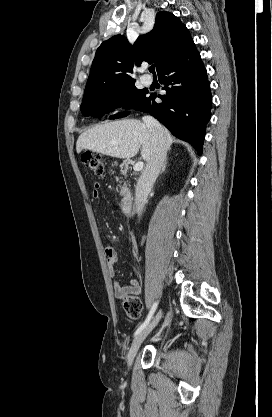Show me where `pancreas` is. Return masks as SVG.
<instances>
[{
    "mask_svg": "<svg viewBox=\"0 0 272 417\" xmlns=\"http://www.w3.org/2000/svg\"><path fill=\"white\" fill-rule=\"evenodd\" d=\"M126 186H127V185H126V184H124V186H122L121 188H122V189H125V188H126Z\"/></svg>",
    "mask_w": 272,
    "mask_h": 417,
    "instance_id": "cf45deb5",
    "label": "pancreas"
}]
</instances>
